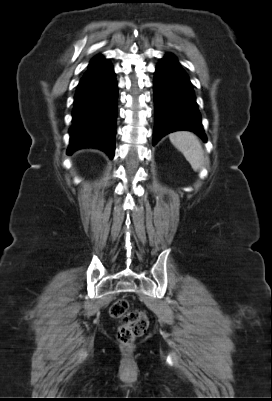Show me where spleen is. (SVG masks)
Segmentation results:
<instances>
[{"instance_id": "obj_1", "label": "spleen", "mask_w": 272, "mask_h": 401, "mask_svg": "<svg viewBox=\"0 0 272 401\" xmlns=\"http://www.w3.org/2000/svg\"><path fill=\"white\" fill-rule=\"evenodd\" d=\"M171 143L183 153L194 171L204 165V152L198 138L190 132L180 131L170 134Z\"/></svg>"}]
</instances>
